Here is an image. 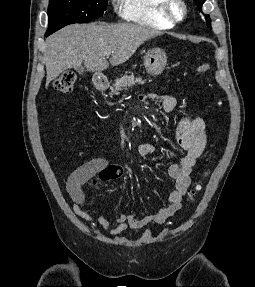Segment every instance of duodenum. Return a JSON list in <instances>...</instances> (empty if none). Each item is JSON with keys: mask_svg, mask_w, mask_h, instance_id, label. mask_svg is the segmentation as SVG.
Returning a JSON list of instances; mask_svg holds the SVG:
<instances>
[{"mask_svg": "<svg viewBox=\"0 0 255 287\" xmlns=\"http://www.w3.org/2000/svg\"><path fill=\"white\" fill-rule=\"evenodd\" d=\"M95 87L99 91H104V90H106L109 87V83L104 78H97L95 80Z\"/></svg>", "mask_w": 255, "mask_h": 287, "instance_id": "obj_1", "label": "duodenum"}]
</instances>
